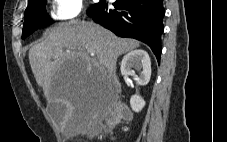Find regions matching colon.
Masks as SVG:
<instances>
[{"label":"colon","instance_id":"1","mask_svg":"<svg viewBox=\"0 0 227 142\" xmlns=\"http://www.w3.org/2000/svg\"><path fill=\"white\" fill-rule=\"evenodd\" d=\"M115 119H116V117L115 116H112V117H110V122H114L115 121Z\"/></svg>","mask_w":227,"mask_h":142}]
</instances>
